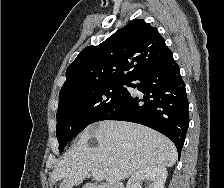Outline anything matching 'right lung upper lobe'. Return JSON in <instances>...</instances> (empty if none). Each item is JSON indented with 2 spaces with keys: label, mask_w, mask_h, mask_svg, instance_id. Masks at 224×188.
Instances as JSON below:
<instances>
[{
  "label": "right lung upper lobe",
  "mask_w": 224,
  "mask_h": 188,
  "mask_svg": "<svg viewBox=\"0 0 224 188\" xmlns=\"http://www.w3.org/2000/svg\"><path fill=\"white\" fill-rule=\"evenodd\" d=\"M171 54L156 27L135 19L98 46L84 48L68 66L60 92L110 81H131Z\"/></svg>",
  "instance_id": "1"
}]
</instances>
